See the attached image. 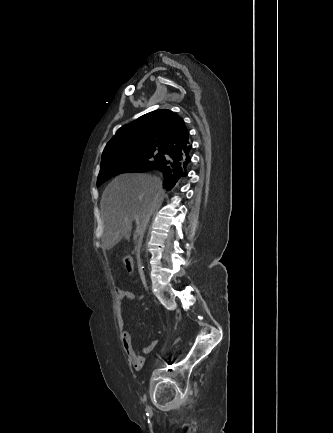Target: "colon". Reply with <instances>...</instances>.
<instances>
[{"mask_svg": "<svg viewBox=\"0 0 333 433\" xmlns=\"http://www.w3.org/2000/svg\"><path fill=\"white\" fill-rule=\"evenodd\" d=\"M122 261H123V265H124L125 270L128 273H131L134 270V264L132 262L131 257L126 256V257L123 258Z\"/></svg>", "mask_w": 333, "mask_h": 433, "instance_id": "5ec220e1", "label": "colon"}]
</instances>
